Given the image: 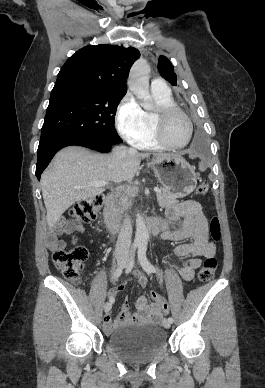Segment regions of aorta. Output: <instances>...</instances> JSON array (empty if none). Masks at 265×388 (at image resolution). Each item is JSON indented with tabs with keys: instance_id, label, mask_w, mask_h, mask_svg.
Segmentation results:
<instances>
[{
	"instance_id": "762f6f07",
	"label": "aorta",
	"mask_w": 265,
	"mask_h": 388,
	"mask_svg": "<svg viewBox=\"0 0 265 388\" xmlns=\"http://www.w3.org/2000/svg\"><path fill=\"white\" fill-rule=\"evenodd\" d=\"M150 67L144 59L138 60L132 67L129 74L128 86L134 95L142 100V107L148 109L152 105V98L149 94L148 74ZM149 232L144 218L139 213L136 215V233L134 245L145 247L148 244Z\"/></svg>"
}]
</instances>
